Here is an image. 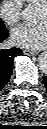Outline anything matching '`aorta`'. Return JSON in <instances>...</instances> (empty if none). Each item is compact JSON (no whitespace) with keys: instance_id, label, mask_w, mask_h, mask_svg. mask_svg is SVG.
Segmentation results:
<instances>
[{"instance_id":"obj_1","label":"aorta","mask_w":47,"mask_h":129,"mask_svg":"<svg viewBox=\"0 0 47 129\" xmlns=\"http://www.w3.org/2000/svg\"><path fill=\"white\" fill-rule=\"evenodd\" d=\"M32 15H33V9L30 6L25 7L24 10L22 11V16L25 19H30ZM39 65L41 69L43 70L47 69V55L46 54L40 55Z\"/></svg>"}]
</instances>
